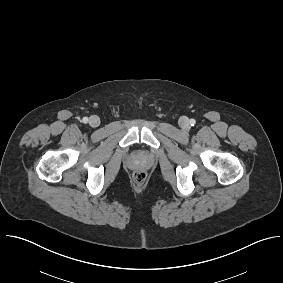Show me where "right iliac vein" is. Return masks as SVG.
<instances>
[{"label": "right iliac vein", "mask_w": 283, "mask_h": 283, "mask_svg": "<svg viewBox=\"0 0 283 283\" xmlns=\"http://www.w3.org/2000/svg\"><path fill=\"white\" fill-rule=\"evenodd\" d=\"M89 125H90L91 127H93V128L98 127V126L100 125V119H99V117H98V116H95V115L91 116V117L89 118Z\"/></svg>", "instance_id": "obj_1"}]
</instances>
